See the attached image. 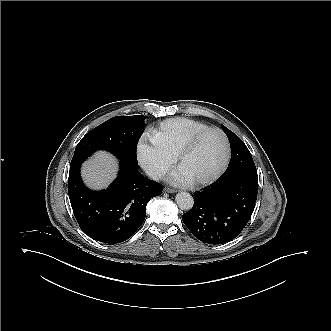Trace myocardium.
<instances>
[{
	"label": "myocardium",
	"mask_w": 331,
	"mask_h": 331,
	"mask_svg": "<svg viewBox=\"0 0 331 331\" xmlns=\"http://www.w3.org/2000/svg\"><path fill=\"white\" fill-rule=\"evenodd\" d=\"M210 133H217L218 135H220V137L223 140V144H224V157H223V161H222L220 167L218 168V170L213 175H211V176H209L207 178L193 180L192 181V184H194V185H206V184H210V183L216 181L225 172V170H226V168L228 166V163H229V159H230V145H229V141H228L227 136L219 128H209V129L203 130V131L199 132L198 134L194 135L192 138H190L181 147V149H180V151L178 153V156H177V167L180 168L181 163H182V160H183L184 156L187 154V152L190 151L201 138H203L204 136H206V135H208Z\"/></svg>",
	"instance_id": "f54148a6"
}]
</instances>
